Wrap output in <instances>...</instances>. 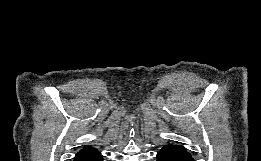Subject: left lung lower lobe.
Listing matches in <instances>:
<instances>
[{
  "label": "left lung lower lobe",
  "mask_w": 261,
  "mask_h": 161,
  "mask_svg": "<svg viewBox=\"0 0 261 161\" xmlns=\"http://www.w3.org/2000/svg\"><path fill=\"white\" fill-rule=\"evenodd\" d=\"M157 161H194L181 145H166L157 153Z\"/></svg>",
  "instance_id": "obj_1"
}]
</instances>
